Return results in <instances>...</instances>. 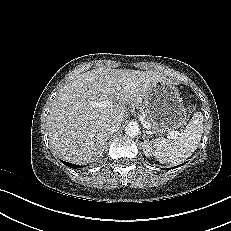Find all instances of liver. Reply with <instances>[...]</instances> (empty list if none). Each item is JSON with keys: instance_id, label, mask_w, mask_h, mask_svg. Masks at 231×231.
Masks as SVG:
<instances>
[{"instance_id": "1", "label": "liver", "mask_w": 231, "mask_h": 231, "mask_svg": "<svg viewBox=\"0 0 231 231\" xmlns=\"http://www.w3.org/2000/svg\"><path fill=\"white\" fill-rule=\"evenodd\" d=\"M158 81L172 84L155 71L101 67L77 76L59 91L47 116L54 154L75 164L98 160L108 140L106 125L115 120L121 124L128 115V104L143 106ZM115 99L119 103L113 104ZM93 101H110L112 105L93 107Z\"/></svg>"}]
</instances>
